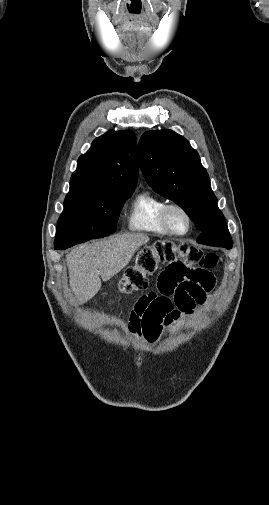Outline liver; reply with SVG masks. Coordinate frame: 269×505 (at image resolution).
<instances>
[{
	"label": "liver",
	"mask_w": 269,
	"mask_h": 505,
	"mask_svg": "<svg viewBox=\"0 0 269 505\" xmlns=\"http://www.w3.org/2000/svg\"><path fill=\"white\" fill-rule=\"evenodd\" d=\"M148 241L147 235L127 233L73 249L66 261L70 287L78 301L85 303L93 298L101 288L100 276L107 281L119 273Z\"/></svg>",
	"instance_id": "obj_1"
}]
</instances>
